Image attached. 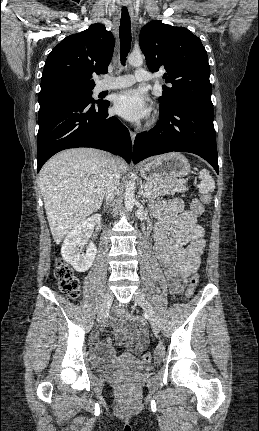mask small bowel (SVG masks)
<instances>
[{"label": "small bowel", "instance_id": "1", "mask_svg": "<svg viewBox=\"0 0 259 431\" xmlns=\"http://www.w3.org/2000/svg\"><path fill=\"white\" fill-rule=\"evenodd\" d=\"M154 211L160 217L154 234L155 255L163 268L170 292L180 294L186 278L200 266L206 246L205 231L196 223L193 211L185 210L179 199L161 201ZM117 314L118 318L112 321L117 341L132 354L139 355L148 343L146 321L123 310ZM92 344L97 358L110 356L111 340L103 343L96 335Z\"/></svg>", "mask_w": 259, "mask_h": 431}]
</instances>
